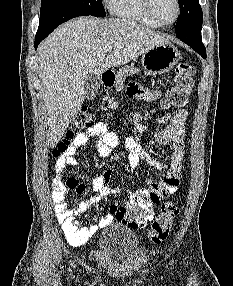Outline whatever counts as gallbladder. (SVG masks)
Here are the masks:
<instances>
[{
    "mask_svg": "<svg viewBox=\"0 0 233 286\" xmlns=\"http://www.w3.org/2000/svg\"><path fill=\"white\" fill-rule=\"evenodd\" d=\"M100 88V76L94 73L87 75L84 83V90L86 93V99L92 100L97 95Z\"/></svg>",
    "mask_w": 233,
    "mask_h": 286,
    "instance_id": "1",
    "label": "gallbladder"
}]
</instances>
